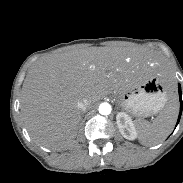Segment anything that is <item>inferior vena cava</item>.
Instances as JSON below:
<instances>
[{"label":"inferior vena cava","mask_w":183,"mask_h":183,"mask_svg":"<svg viewBox=\"0 0 183 183\" xmlns=\"http://www.w3.org/2000/svg\"><path fill=\"white\" fill-rule=\"evenodd\" d=\"M77 107L80 111L84 112L89 107V104L86 102V100L81 99L77 102Z\"/></svg>","instance_id":"1"}]
</instances>
